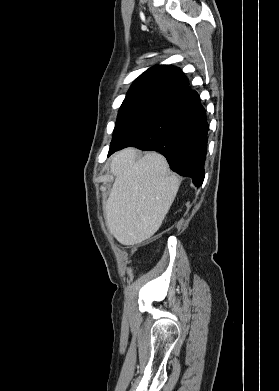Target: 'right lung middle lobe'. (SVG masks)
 <instances>
[{"label": "right lung middle lobe", "instance_id": "right-lung-middle-lobe-1", "mask_svg": "<svg viewBox=\"0 0 279 391\" xmlns=\"http://www.w3.org/2000/svg\"><path fill=\"white\" fill-rule=\"evenodd\" d=\"M161 109L146 106L119 110L109 153L123 146L147 128Z\"/></svg>", "mask_w": 279, "mask_h": 391}]
</instances>
